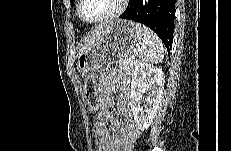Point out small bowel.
Returning <instances> with one entry per match:
<instances>
[{
    "label": "small bowel",
    "instance_id": "1",
    "mask_svg": "<svg viewBox=\"0 0 231 151\" xmlns=\"http://www.w3.org/2000/svg\"><path fill=\"white\" fill-rule=\"evenodd\" d=\"M130 96V82L126 76L117 70L102 74L99 81L100 111L95 132L98 137L96 145L105 146L106 151H133L134 143L139 138L140 131L133 120ZM114 100L116 114L110 111ZM106 123L110 124L115 135L110 133Z\"/></svg>",
    "mask_w": 231,
    "mask_h": 151
}]
</instances>
